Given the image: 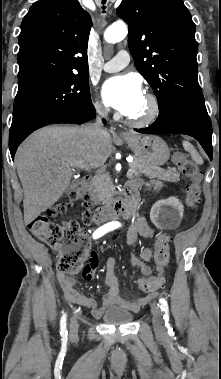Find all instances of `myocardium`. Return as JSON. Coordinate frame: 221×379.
Returning <instances> with one entry per match:
<instances>
[{"label": "myocardium", "mask_w": 221, "mask_h": 379, "mask_svg": "<svg viewBox=\"0 0 221 379\" xmlns=\"http://www.w3.org/2000/svg\"><path fill=\"white\" fill-rule=\"evenodd\" d=\"M145 99L148 103L147 112L139 118H127V123L136 127H146L151 125L159 116L160 105L157 97L152 93H146Z\"/></svg>", "instance_id": "1"}]
</instances>
